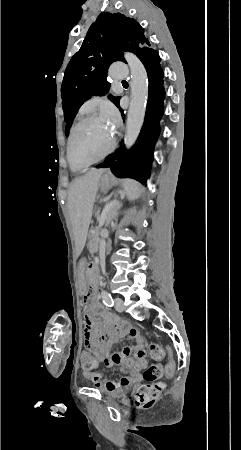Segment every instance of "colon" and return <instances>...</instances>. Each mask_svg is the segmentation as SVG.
<instances>
[{
    "instance_id": "5ec220e1",
    "label": "colon",
    "mask_w": 241,
    "mask_h": 450,
    "mask_svg": "<svg viewBox=\"0 0 241 450\" xmlns=\"http://www.w3.org/2000/svg\"><path fill=\"white\" fill-rule=\"evenodd\" d=\"M148 353L154 360H163L166 357V350L156 343H151L148 346ZM172 356L175 354L173 351L170 353ZM82 356V371H95L96 359L92 357L90 350H83ZM171 362V363H170ZM165 364V374L172 376L174 374V360ZM161 373L160 366L158 364H150L143 371V378L147 381H155L159 378ZM164 384L156 385H142L139 387L135 394V405L140 410H149L156 404L159 395L164 388Z\"/></svg>"
}]
</instances>
